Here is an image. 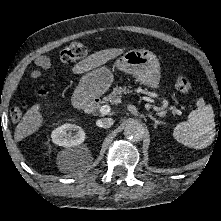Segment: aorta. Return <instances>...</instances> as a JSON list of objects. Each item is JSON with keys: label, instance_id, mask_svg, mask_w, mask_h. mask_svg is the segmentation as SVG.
<instances>
[{"label": "aorta", "instance_id": "1", "mask_svg": "<svg viewBox=\"0 0 221 221\" xmlns=\"http://www.w3.org/2000/svg\"><path fill=\"white\" fill-rule=\"evenodd\" d=\"M145 134L144 126L136 121L129 120L124 126V136L132 141H140Z\"/></svg>", "mask_w": 221, "mask_h": 221}]
</instances>
